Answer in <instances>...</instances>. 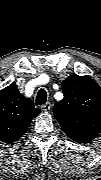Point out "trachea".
Segmentation results:
<instances>
[{"label":"trachea","mask_w":101,"mask_h":180,"mask_svg":"<svg viewBox=\"0 0 101 180\" xmlns=\"http://www.w3.org/2000/svg\"><path fill=\"white\" fill-rule=\"evenodd\" d=\"M47 100V92L44 89H40L36 96V105H43Z\"/></svg>","instance_id":"3493384b"}]
</instances>
